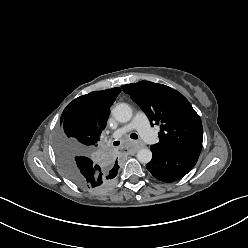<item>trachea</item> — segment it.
Returning <instances> with one entry per match:
<instances>
[{
  "label": "trachea",
  "instance_id": "trachea-1",
  "mask_svg": "<svg viewBox=\"0 0 248 248\" xmlns=\"http://www.w3.org/2000/svg\"><path fill=\"white\" fill-rule=\"evenodd\" d=\"M130 137H131L132 139H137V138H138L137 134H135V133H132V134L130 135ZM119 144H120V141H115V142L113 143L114 146H118Z\"/></svg>",
  "mask_w": 248,
  "mask_h": 248
}]
</instances>
